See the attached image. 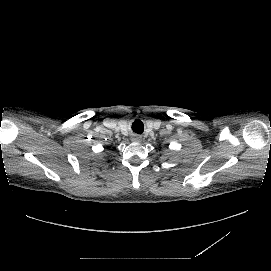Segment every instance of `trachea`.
Returning <instances> with one entry per match:
<instances>
[{
    "mask_svg": "<svg viewBox=\"0 0 271 271\" xmlns=\"http://www.w3.org/2000/svg\"><path fill=\"white\" fill-rule=\"evenodd\" d=\"M132 129L137 134H142L144 130V124L143 121L140 118H135L132 121Z\"/></svg>",
    "mask_w": 271,
    "mask_h": 271,
    "instance_id": "3493384b",
    "label": "trachea"
}]
</instances>
